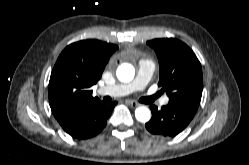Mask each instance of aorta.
Returning a JSON list of instances; mask_svg holds the SVG:
<instances>
[{"instance_id":"aorta-1","label":"aorta","mask_w":249,"mask_h":165,"mask_svg":"<svg viewBox=\"0 0 249 165\" xmlns=\"http://www.w3.org/2000/svg\"><path fill=\"white\" fill-rule=\"evenodd\" d=\"M135 70L130 64H122L116 71L117 78L121 82H130L134 78ZM135 117L139 122H148L151 118L150 110L147 107H139L135 111Z\"/></svg>"}]
</instances>
